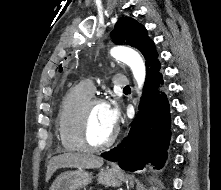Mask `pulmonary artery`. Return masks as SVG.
I'll return each instance as SVG.
<instances>
[{
    "label": "pulmonary artery",
    "mask_w": 221,
    "mask_h": 190,
    "mask_svg": "<svg viewBox=\"0 0 221 190\" xmlns=\"http://www.w3.org/2000/svg\"><path fill=\"white\" fill-rule=\"evenodd\" d=\"M113 84L117 87H126L128 86V79L123 74H115L113 77ZM82 85L90 94L94 93L95 87L91 80H85Z\"/></svg>",
    "instance_id": "1"
}]
</instances>
